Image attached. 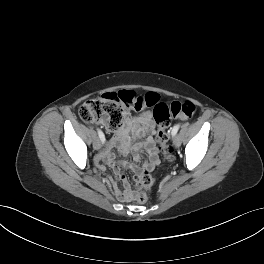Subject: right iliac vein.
<instances>
[{
    "label": "right iliac vein",
    "mask_w": 264,
    "mask_h": 264,
    "mask_svg": "<svg viewBox=\"0 0 264 264\" xmlns=\"http://www.w3.org/2000/svg\"><path fill=\"white\" fill-rule=\"evenodd\" d=\"M94 148L96 149V150H99L100 148H101V142H100V140H95V142H94Z\"/></svg>",
    "instance_id": "1"
}]
</instances>
